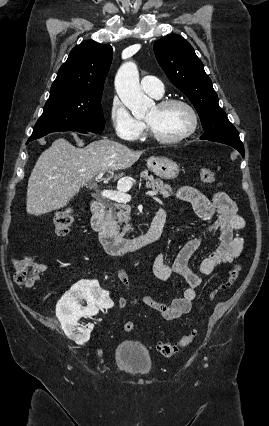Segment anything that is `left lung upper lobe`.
Segmentation results:
<instances>
[{
  "instance_id": "left-lung-upper-lobe-1",
  "label": "left lung upper lobe",
  "mask_w": 269,
  "mask_h": 426,
  "mask_svg": "<svg viewBox=\"0 0 269 426\" xmlns=\"http://www.w3.org/2000/svg\"><path fill=\"white\" fill-rule=\"evenodd\" d=\"M159 65L169 80L192 102L200 117L204 138H239L238 131L219 107L212 82L193 47L178 35L166 36L154 44Z\"/></svg>"
}]
</instances>
